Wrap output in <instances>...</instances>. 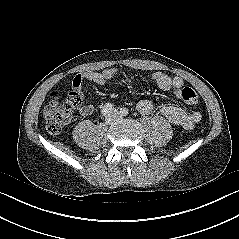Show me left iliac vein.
I'll return each instance as SVG.
<instances>
[{
  "instance_id": "1",
  "label": "left iliac vein",
  "mask_w": 239,
  "mask_h": 239,
  "mask_svg": "<svg viewBox=\"0 0 239 239\" xmlns=\"http://www.w3.org/2000/svg\"><path fill=\"white\" fill-rule=\"evenodd\" d=\"M111 114L114 115V117H115L116 120H119V119L122 118V117L120 116V113H119V111H118L117 109H112V110H111Z\"/></svg>"
}]
</instances>
